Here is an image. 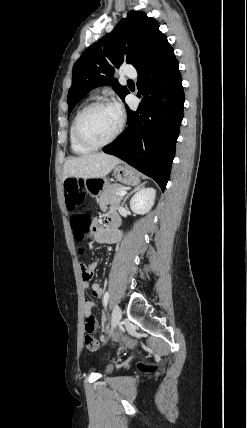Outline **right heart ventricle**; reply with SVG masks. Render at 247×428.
<instances>
[{
    "mask_svg": "<svg viewBox=\"0 0 247 428\" xmlns=\"http://www.w3.org/2000/svg\"><path fill=\"white\" fill-rule=\"evenodd\" d=\"M86 106H83L81 108H79L77 110V112L75 113L71 125H70V129H69V142H70V147L73 153L77 154V155H85L90 153L93 149L91 148H87L83 145H81L75 138V134H74V124H75V120L77 118V116L79 115V113L85 108Z\"/></svg>",
    "mask_w": 247,
    "mask_h": 428,
    "instance_id": "obj_1",
    "label": "right heart ventricle"
}]
</instances>
